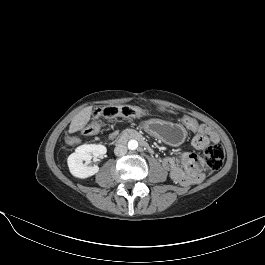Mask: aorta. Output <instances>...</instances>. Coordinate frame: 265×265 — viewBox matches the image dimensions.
I'll list each match as a JSON object with an SVG mask.
<instances>
[{"label":"aorta","instance_id":"1","mask_svg":"<svg viewBox=\"0 0 265 265\" xmlns=\"http://www.w3.org/2000/svg\"><path fill=\"white\" fill-rule=\"evenodd\" d=\"M138 148V142L134 139L129 140L128 142V149L129 150H136Z\"/></svg>","mask_w":265,"mask_h":265}]
</instances>
